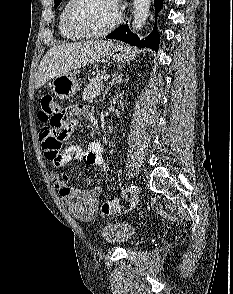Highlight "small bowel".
<instances>
[{
  "label": "small bowel",
  "instance_id": "c3829d8e",
  "mask_svg": "<svg viewBox=\"0 0 233 294\" xmlns=\"http://www.w3.org/2000/svg\"><path fill=\"white\" fill-rule=\"evenodd\" d=\"M90 106V103H70L64 104L61 110H52V115L56 117H49L48 126H43L40 133L42 148L50 161L52 182L72 216L84 222L91 221L96 216L101 187L90 180L87 181V188L72 186L63 169L72 160L80 159L87 165L100 168L105 177L110 174L100 142L91 141L85 148L65 144L72 137V128L78 126V122L84 121L83 117L94 122Z\"/></svg>",
  "mask_w": 233,
  "mask_h": 294
}]
</instances>
